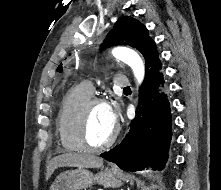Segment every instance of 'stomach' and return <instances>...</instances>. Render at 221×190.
I'll return each instance as SVG.
<instances>
[{
  "label": "stomach",
  "mask_w": 221,
  "mask_h": 190,
  "mask_svg": "<svg viewBox=\"0 0 221 190\" xmlns=\"http://www.w3.org/2000/svg\"><path fill=\"white\" fill-rule=\"evenodd\" d=\"M98 183L106 188L120 187L122 178L112 169H105L97 174L79 168L61 173L52 183L50 190H82Z\"/></svg>",
  "instance_id": "obj_1"
}]
</instances>
